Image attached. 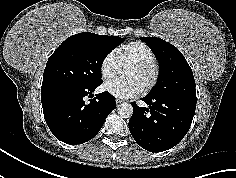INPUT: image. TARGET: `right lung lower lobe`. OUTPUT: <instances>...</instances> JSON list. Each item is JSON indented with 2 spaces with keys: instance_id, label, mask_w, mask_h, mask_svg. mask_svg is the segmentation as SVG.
Listing matches in <instances>:
<instances>
[{
  "instance_id": "right-lung-lower-lobe-1",
  "label": "right lung lower lobe",
  "mask_w": 236,
  "mask_h": 178,
  "mask_svg": "<svg viewBox=\"0 0 236 178\" xmlns=\"http://www.w3.org/2000/svg\"><path fill=\"white\" fill-rule=\"evenodd\" d=\"M98 87V86H97ZM97 87H78L65 83H45L41 87V101L45 121L60 141L77 145L94 138L106 117L116 107L114 97L106 91L96 94Z\"/></svg>"
}]
</instances>
